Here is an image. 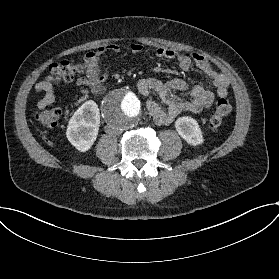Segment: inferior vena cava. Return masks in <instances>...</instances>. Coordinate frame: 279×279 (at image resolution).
I'll list each match as a JSON object with an SVG mask.
<instances>
[{
    "mask_svg": "<svg viewBox=\"0 0 279 279\" xmlns=\"http://www.w3.org/2000/svg\"><path fill=\"white\" fill-rule=\"evenodd\" d=\"M106 133H108L109 135H113V136H118V135H121L123 130L121 128H118V127H111V126H108L106 128Z\"/></svg>",
    "mask_w": 279,
    "mask_h": 279,
    "instance_id": "inferior-vena-cava-1",
    "label": "inferior vena cava"
}]
</instances>
